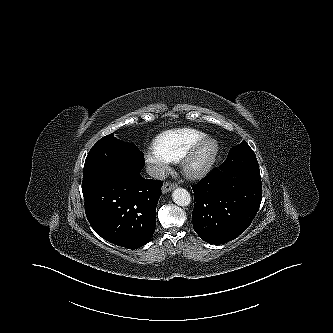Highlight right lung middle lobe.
<instances>
[{"label": "right lung middle lobe", "mask_w": 333, "mask_h": 333, "mask_svg": "<svg viewBox=\"0 0 333 333\" xmlns=\"http://www.w3.org/2000/svg\"><path fill=\"white\" fill-rule=\"evenodd\" d=\"M143 166V153L134 144L125 143L109 134L89 151L84 164L83 183L111 174L139 171Z\"/></svg>", "instance_id": "right-lung-middle-lobe-1"}]
</instances>
